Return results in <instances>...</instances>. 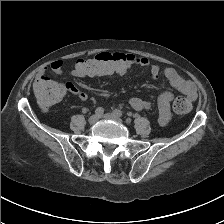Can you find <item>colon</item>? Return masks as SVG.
<instances>
[{
  "instance_id": "5ec220e1",
  "label": "colon",
  "mask_w": 224,
  "mask_h": 224,
  "mask_svg": "<svg viewBox=\"0 0 224 224\" xmlns=\"http://www.w3.org/2000/svg\"><path fill=\"white\" fill-rule=\"evenodd\" d=\"M129 66L118 53H101L90 59H81L75 69L84 77H103L124 74ZM34 93L38 103L45 109L59 102L65 93V87L50 78H42L34 84ZM188 97L179 96L173 102V111L178 115L188 114L192 110Z\"/></svg>"
}]
</instances>
